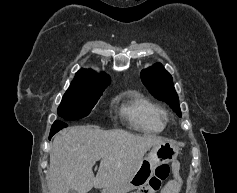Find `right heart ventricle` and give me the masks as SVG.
Returning a JSON list of instances; mask_svg holds the SVG:
<instances>
[{"instance_id": "obj_1", "label": "right heart ventricle", "mask_w": 237, "mask_h": 193, "mask_svg": "<svg viewBox=\"0 0 237 193\" xmlns=\"http://www.w3.org/2000/svg\"><path fill=\"white\" fill-rule=\"evenodd\" d=\"M121 115L130 126L143 133H159L166 127V114L154 102L137 91H126L121 96Z\"/></svg>"}]
</instances>
